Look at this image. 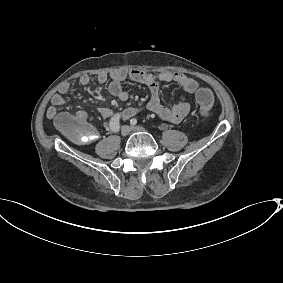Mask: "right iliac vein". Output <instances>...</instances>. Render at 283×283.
Segmentation results:
<instances>
[{"instance_id":"63e3f726","label":"right iliac vein","mask_w":283,"mask_h":283,"mask_svg":"<svg viewBox=\"0 0 283 283\" xmlns=\"http://www.w3.org/2000/svg\"><path fill=\"white\" fill-rule=\"evenodd\" d=\"M130 130H131V129H130L129 126L124 125V126L121 128V135H122L123 137H126L127 135H129Z\"/></svg>"}]
</instances>
